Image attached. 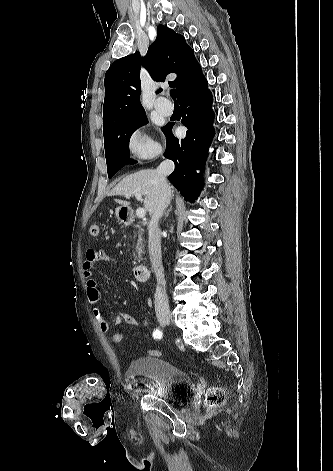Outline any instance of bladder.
<instances>
[{
  "label": "bladder",
  "instance_id": "1",
  "mask_svg": "<svg viewBox=\"0 0 333 471\" xmlns=\"http://www.w3.org/2000/svg\"><path fill=\"white\" fill-rule=\"evenodd\" d=\"M127 374L149 380L154 395L170 404L190 398L195 389L194 381L183 369L155 356L132 360Z\"/></svg>",
  "mask_w": 333,
  "mask_h": 471
}]
</instances>
